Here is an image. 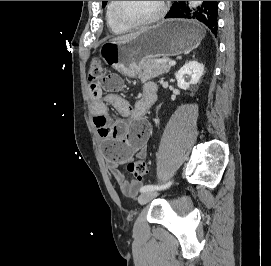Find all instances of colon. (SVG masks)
I'll list each match as a JSON object with an SVG mask.
<instances>
[{"label":"colon","instance_id":"obj_1","mask_svg":"<svg viewBox=\"0 0 271 266\" xmlns=\"http://www.w3.org/2000/svg\"><path fill=\"white\" fill-rule=\"evenodd\" d=\"M105 74V68L103 63L99 59H93L90 62L88 70L89 81H96L103 77ZM127 170L131 173L137 181H142L147 174L146 163L142 160L131 161L127 164Z\"/></svg>","mask_w":271,"mask_h":266}]
</instances>
